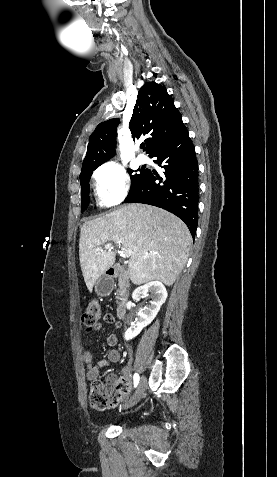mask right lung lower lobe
Returning a JSON list of instances; mask_svg holds the SVG:
<instances>
[{"instance_id": "right-lung-lower-lobe-1", "label": "right lung lower lobe", "mask_w": 277, "mask_h": 477, "mask_svg": "<svg viewBox=\"0 0 277 477\" xmlns=\"http://www.w3.org/2000/svg\"><path fill=\"white\" fill-rule=\"evenodd\" d=\"M149 156L157 157L155 162L163 165L164 176L146 169L144 179L129 192L125 202L150 204L175 214L185 222L194 238L198 223V169L188 130L183 129Z\"/></svg>"}]
</instances>
